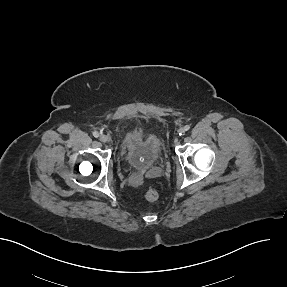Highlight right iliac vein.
I'll list each match as a JSON object with an SVG mask.
<instances>
[{"label": "right iliac vein", "mask_w": 287, "mask_h": 287, "mask_svg": "<svg viewBox=\"0 0 287 287\" xmlns=\"http://www.w3.org/2000/svg\"><path fill=\"white\" fill-rule=\"evenodd\" d=\"M99 139L103 143H106V142L109 141V138L106 135H104V134L100 135Z\"/></svg>", "instance_id": "right-iliac-vein-1"}]
</instances>
